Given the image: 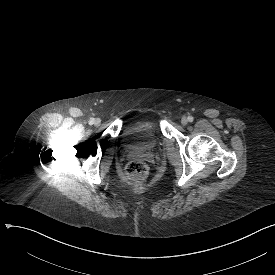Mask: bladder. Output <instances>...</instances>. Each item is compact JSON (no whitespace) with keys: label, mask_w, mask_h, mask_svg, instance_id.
<instances>
[{"label":"bladder","mask_w":275,"mask_h":275,"mask_svg":"<svg viewBox=\"0 0 275 275\" xmlns=\"http://www.w3.org/2000/svg\"><path fill=\"white\" fill-rule=\"evenodd\" d=\"M117 140L120 150L124 152L133 148L136 153H149L156 149L160 133L155 121L138 119L126 125Z\"/></svg>","instance_id":"1"}]
</instances>
